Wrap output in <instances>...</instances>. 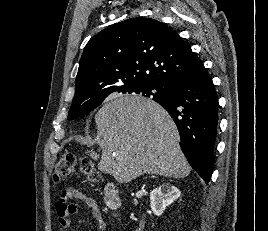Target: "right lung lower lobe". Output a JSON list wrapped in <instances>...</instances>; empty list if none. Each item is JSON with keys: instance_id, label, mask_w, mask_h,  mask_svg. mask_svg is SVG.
<instances>
[{"instance_id": "1", "label": "right lung lower lobe", "mask_w": 268, "mask_h": 231, "mask_svg": "<svg viewBox=\"0 0 268 231\" xmlns=\"http://www.w3.org/2000/svg\"><path fill=\"white\" fill-rule=\"evenodd\" d=\"M165 96L154 101L163 106L180 133V147L189 164L206 182L214 164L218 125V97L205 67L197 74L171 82Z\"/></svg>"}]
</instances>
